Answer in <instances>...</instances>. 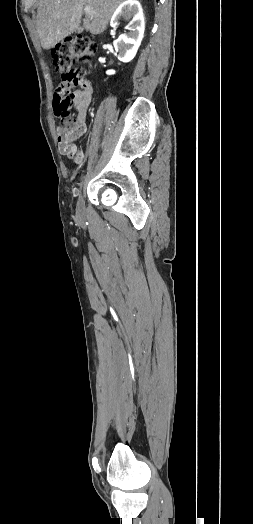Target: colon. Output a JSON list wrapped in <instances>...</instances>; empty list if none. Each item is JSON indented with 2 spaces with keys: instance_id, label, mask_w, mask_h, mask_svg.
<instances>
[{
  "instance_id": "1",
  "label": "colon",
  "mask_w": 253,
  "mask_h": 524,
  "mask_svg": "<svg viewBox=\"0 0 253 524\" xmlns=\"http://www.w3.org/2000/svg\"><path fill=\"white\" fill-rule=\"evenodd\" d=\"M96 50V43L82 35H70L63 39L53 53V65L61 76L59 92L61 99L55 104L56 113L62 121V129L70 133L77 127L72 116L76 96L88 97L94 93L92 81L85 68H76V61L87 65Z\"/></svg>"
}]
</instances>
